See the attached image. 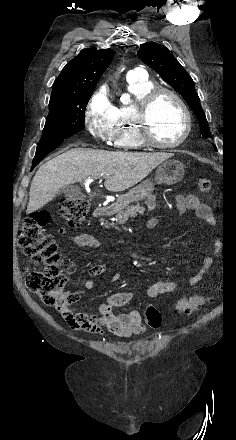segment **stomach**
Wrapping results in <instances>:
<instances>
[{"label": "stomach", "instance_id": "obj_1", "mask_svg": "<svg viewBox=\"0 0 236 440\" xmlns=\"http://www.w3.org/2000/svg\"><path fill=\"white\" fill-rule=\"evenodd\" d=\"M184 172V166L181 162L175 159L165 160L156 170L155 182L166 185L176 184L183 179ZM153 191L154 184L152 181L145 180L127 193L119 195L114 209L115 211H122L130 203L148 198L152 195Z\"/></svg>", "mask_w": 236, "mask_h": 440}]
</instances>
